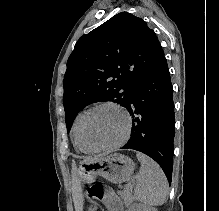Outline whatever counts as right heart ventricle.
<instances>
[{
    "instance_id": "1",
    "label": "right heart ventricle",
    "mask_w": 219,
    "mask_h": 211,
    "mask_svg": "<svg viewBox=\"0 0 219 211\" xmlns=\"http://www.w3.org/2000/svg\"><path fill=\"white\" fill-rule=\"evenodd\" d=\"M83 113L84 112H80L74 119V122L72 125V131H71L72 139H73L74 146L76 148L86 153H93L94 150L88 147L86 144H84V142L82 141L80 137L79 125H80V121H81Z\"/></svg>"
}]
</instances>
